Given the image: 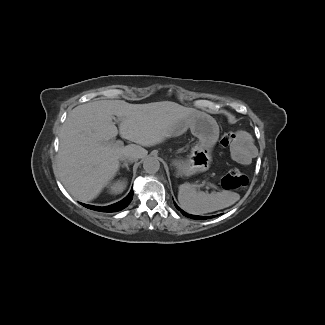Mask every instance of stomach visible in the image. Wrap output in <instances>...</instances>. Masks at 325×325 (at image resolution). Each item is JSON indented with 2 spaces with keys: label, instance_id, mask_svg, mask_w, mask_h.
<instances>
[{
  "label": "stomach",
  "instance_id": "obj_1",
  "mask_svg": "<svg viewBox=\"0 0 325 325\" xmlns=\"http://www.w3.org/2000/svg\"><path fill=\"white\" fill-rule=\"evenodd\" d=\"M190 127L192 133L204 144H210L217 140L219 128L216 121L202 112L191 113L178 120L169 130L170 138L175 139L180 132ZM211 163V155L201 146L194 148L187 159L174 161L178 174L189 176L196 172L206 171Z\"/></svg>",
  "mask_w": 325,
  "mask_h": 325
}]
</instances>
